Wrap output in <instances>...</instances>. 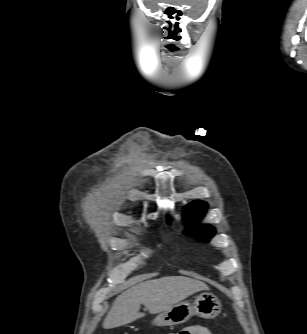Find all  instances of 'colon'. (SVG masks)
Returning <instances> with one entry per match:
<instances>
[{
    "mask_svg": "<svg viewBox=\"0 0 307 334\" xmlns=\"http://www.w3.org/2000/svg\"><path fill=\"white\" fill-rule=\"evenodd\" d=\"M124 334H129V333H124ZM173 334H183L182 331L177 332V333H173Z\"/></svg>",
    "mask_w": 307,
    "mask_h": 334,
    "instance_id": "1",
    "label": "colon"
}]
</instances>
